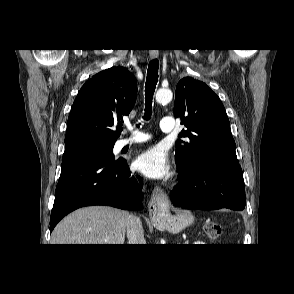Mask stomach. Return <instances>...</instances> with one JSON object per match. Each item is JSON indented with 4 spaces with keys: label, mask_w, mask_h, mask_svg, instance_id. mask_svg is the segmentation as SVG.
Wrapping results in <instances>:
<instances>
[{
    "label": "stomach",
    "mask_w": 294,
    "mask_h": 294,
    "mask_svg": "<svg viewBox=\"0 0 294 294\" xmlns=\"http://www.w3.org/2000/svg\"><path fill=\"white\" fill-rule=\"evenodd\" d=\"M194 217L189 211H182L176 215L164 211L159 216L160 226L172 233L182 231L186 226L193 223Z\"/></svg>",
    "instance_id": "1"
}]
</instances>
